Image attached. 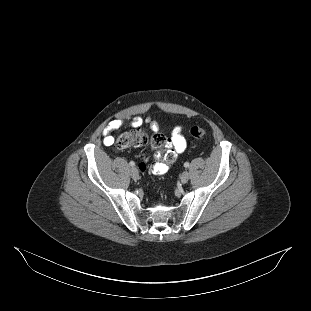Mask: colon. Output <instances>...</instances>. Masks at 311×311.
I'll return each instance as SVG.
<instances>
[{"label": "colon", "instance_id": "1", "mask_svg": "<svg viewBox=\"0 0 311 311\" xmlns=\"http://www.w3.org/2000/svg\"><path fill=\"white\" fill-rule=\"evenodd\" d=\"M190 134L196 139H204L207 137L208 132L203 127L193 126L190 129ZM150 140L152 144H155L160 148L165 147L167 142L166 139L162 136H154L150 139L147 133L142 128H140V126H138L118 136L115 141V148L117 150H125L131 147L143 146L146 145ZM139 169L141 172H144L146 165L144 163H140ZM156 169L159 174L165 171L164 166L161 164L157 165Z\"/></svg>", "mask_w": 311, "mask_h": 311}]
</instances>
